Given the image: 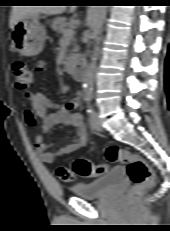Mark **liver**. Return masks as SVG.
<instances>
[{
  "mask_svg": "<svg viewBox=\"0 0 170 231\" xmlns=\"http://www.w3.org/2000/svg\"><path fill=\"white\" fill-rule=\"evenodd\" d=\"M66 6H13L9 26L11 29L24 17L29 15H55L65 12ZM75 6H71L69 12L72 13Z\"/></svg>",
  "mask_w": 170,
  "mask_h": 231,
  "instance_id": "obj_1",
  "label": "liver"
}]
</instances>
